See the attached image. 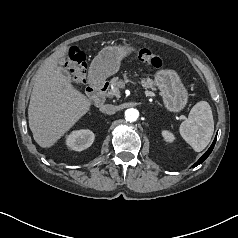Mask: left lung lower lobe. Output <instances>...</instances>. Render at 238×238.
<instances>
[{"mask_svg":"<svg viewBox=\"0 0 238 238\" xmlns=\"http://www.w3.org/2000/svg\"><path fill=\"white\" fill-rule=\"evenodd\" d=\"M215 142H216V138L213 141L211 147L208 149V151L193 165V167H196L197 165L201 164L210 155V153L212 152L214 148Z\"/></svg>","mask_w":238,"mask_h":238,"instance_id":"0a47b994","label":"left lung lower lobe"}]
</instances>
